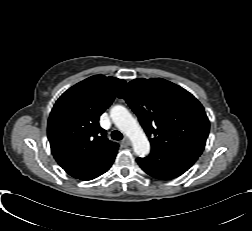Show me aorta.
<instances>
[{"label":"aorta","instance_id":"obj_1","mask_svg":"<svg viewBox=\"0 0 252 231\" xmlns=\"http://www.w3.org/2000/svg\"><path fill=\"white\" fill-rule=\"evenodd\" d=\"M112 121L132 142L133 149L139 157H145L150 152V143L136 119L121 105H116L110 112Z\"/></svg>","mask_w":252,"mask_h":231}]
</instances>
